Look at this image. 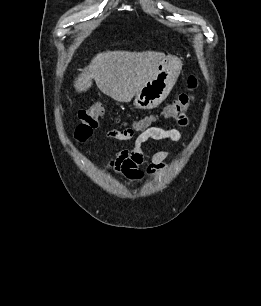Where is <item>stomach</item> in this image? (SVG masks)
Listing matches in <instances>:
<instances>
[{"label": "stomach", "instance_id": "1", "mask_svg": "<svg viewBox=\"0 0 261 306\" xmlns=\"http://www.w3.org/2000/svg\"><path fill=\"white\" fill-rule=\"evenodd\" d=\"M181 70L182 62L177 57L163 60L135 95V107L143 110L157 107L170 93Z\"/></svg>", "mask_w": 261, "mask_h": 306}]
</instances>
